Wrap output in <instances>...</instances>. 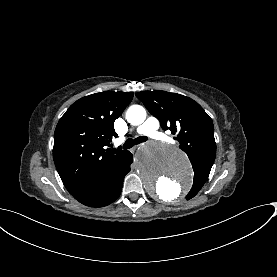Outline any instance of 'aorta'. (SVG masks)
Listing matches in <instances>:
<instances>
[{
	"label": "aorta",
	"mask_w": 277,
	"mask_h": 277,
	"mask_svg": "<svg viewBox=\"0 0 277 277\" xmlns=\"http://www.w3.org/2000/svg\"><path fill=\"white\" fill-rule=\"evenodd\" d=\"M132 125L146 119V110L132 105L126 113ZM136 170L148 194L161 202H173L192 186V172L184 152L163 142L143 144L137 153Z\"/></svg>",
	"instance_id": "aorta-1"
}]
</instances>
